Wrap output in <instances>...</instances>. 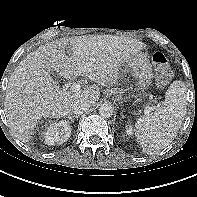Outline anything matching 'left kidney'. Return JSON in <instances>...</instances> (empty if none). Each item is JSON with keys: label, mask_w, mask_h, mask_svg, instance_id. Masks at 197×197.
<instances>
[{"label": "left kidney", "mask_w": 197, "mask_h": 197, "mask_svg": "<svg viewBox=\"0 0 197 197\" xmlns=\"http://www.w3.org/2000/svg\"><path fill=\"white\" fill-rule=\"evenodd\" d=\"M133 127L131 124L126 125V132L128 135H132Z\"/></svg>", "instance_id": "1"}]
</instances>
